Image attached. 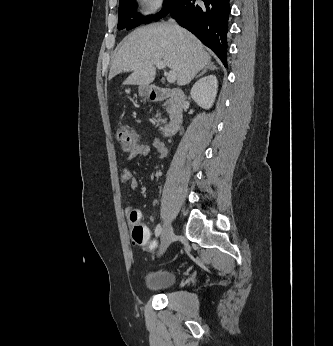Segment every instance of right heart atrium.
I'll return each instance as SVG.
<instances>
[{"label": "right heart atrium", "instance_id": "d8ad5b80", "mask_svg": "<svg viewBox=\"0 0 333 346\" xmlns=\"http://www.w3.org/2000/svg\"><path fill=\"white\" fill-rule=\"evenodd\" d=\"M140 1L145 13H152L156 11L162 3V0H140Z\"/></svg>", "mask_w": 333, "mask_h": 346}]
</instances>
